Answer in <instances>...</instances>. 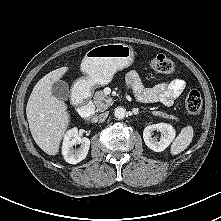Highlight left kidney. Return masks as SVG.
<instances>
[{"instance_id": "obj_1", "label": "left kidney", "mask_w": 221, "mask_h": 221, "mask_svg": "<svg viewBox=\"0 0 221 221\" xmlns=\"http://www.w3.org/2000/svg\"><path fill=\"white\" fill-rule=\"evenodd\" d=\"M155 130L161 133L159 140L157 137H153ZM175 134V129L170 124L159 123L147 126L143 131V139L148 148L155 152H161L170 145Z\"/></svg>"}]
</instances>
